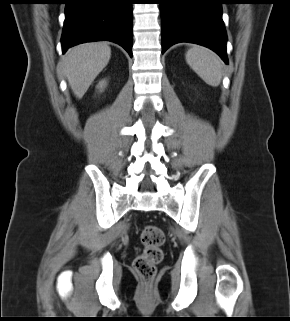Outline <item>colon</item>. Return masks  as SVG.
<instances>
[{
	"label": "colon",
	"instance_id": "1",
	"mask_svg": "<svg viewBox=\"0 0 290 321\" xmlns=\"http://www.w3.org/2000/svg\"><path fill=\"white\" fill-rule=\"evenodd\" d=\"M165 236L155 225L145 226L141 233L143 250L134 260V271L143 284H150L156 275V266L162 261Z\"/></svg>",
	"mask_w": 290,
	"mask_h": 321
}]
</instances>
